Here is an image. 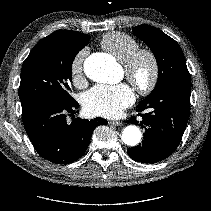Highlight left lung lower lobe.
I'll return each mask as SVG.
<instances>
[{
  "instance_id": "1",
  "label": "left lung lower lobe",
  "mask_w": 211,
  "mask_h": 211,
  "mask_svg": "<svg viewBox=\"0 0 211 211\" xmlns=\"http://www.w3.org/2000/svg\"><path fill=\"white\" fill-rule=\"evenodd\" d=\"M191 80L168 84L157 94L144 99L137 112L145 128L142 144L127 150L128 155L141 163H156L169 157L179 145L190 114ZM130 122L138 123L136 117Z\"/></svg>"
}]
</instances>
